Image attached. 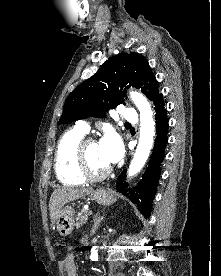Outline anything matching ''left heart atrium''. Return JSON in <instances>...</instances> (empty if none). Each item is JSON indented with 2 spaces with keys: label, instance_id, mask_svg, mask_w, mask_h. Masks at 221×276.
<instances>
[{
  "label": "left heart atrium",
  "instance_id": "1",
  "mask_svg": "<svg viewBox=\"0 0 221 276\" xmlns=\"http://www.w3.org/2000/svg\"><path fill=\"white\" fill-rule=\"evenodd\" d=\"M99 148L105 161L111 165L116 163L123 154L122 142L119 136L108 132L99 142Z\"/></svg>",
  "mask_w": 221,
  "mask_h": 276
}]
</instances>
